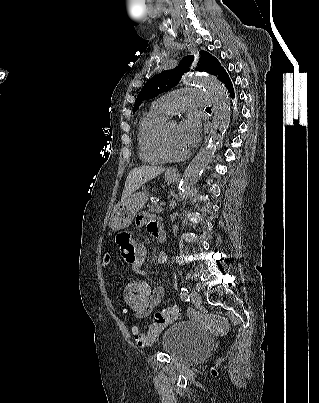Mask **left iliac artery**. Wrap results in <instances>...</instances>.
<instances>
[{"label":"left iliac artery","mask_w":319,"mask_h":403,"mask_svg":"<svg viewBox=\"0 0 319 403\" xmlns=\"http://www.w3.org/2000/svg\"><path fill=\"white\" fill-rule=\"evenodd\" d=\"M181 299L184 301H189L190 297H189V293L186 287H182L181 288Z\"/></svg>","instance_id":"left-iliac-artery-1"}]
</instances>
